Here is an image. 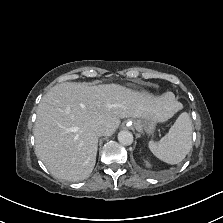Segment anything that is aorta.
<instances>
[{"label":"aorta","mask_w":223,"mask_h":223,"mask_svg":"<svg viewBox=\"0 0 223 223\" xmlns=\"http://www.w3.org/2000/svg\"><path fill=\"white\" fill-rule=\"evenodd\" d=\"M118 141L122 145H131L133 143V134L127 130L120 131L118 133Z\"/></svg>","instance_id":"762f6f07"}]
</instances>
